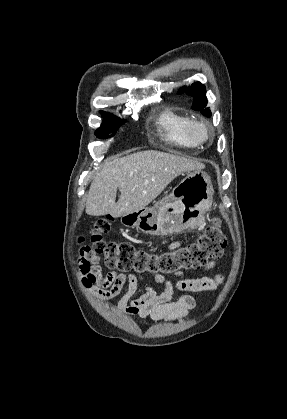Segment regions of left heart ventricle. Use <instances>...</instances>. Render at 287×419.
Masks as SVG:
<instances>
[{
  "instance_id": "obj_1",
  "label": "left heart ventricle",
  "mask_w": 287,
  "mask_h": 419,
  "mask_svg": "<svg viewBox=\"0 0 287 419\" xmlns=\"http://www.w3.org/2000/svg\"><path fill=\"white\" fill-rule=\"evenodd\" d=\"M202 132L200 130H197V135H201Z\"/></svg>"
}]
</instances>
